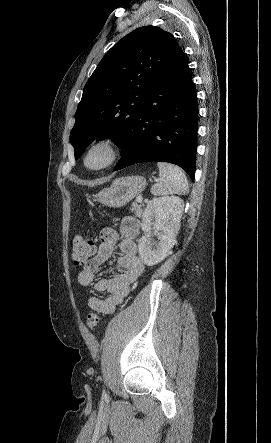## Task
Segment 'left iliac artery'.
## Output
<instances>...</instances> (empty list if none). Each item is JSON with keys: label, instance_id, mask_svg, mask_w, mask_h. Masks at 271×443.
<instances>
[{"label": "left iliac artery", "instance_id": "obj_1", "mask_svg": "<svg viewBox=\"0 0 271 443\" xmlns=\"http://www.w3.org/2000/svg\"><path fill=\"white\" fill-rule=\"evenodd\" d=\"M103 395L106 397V392L105 391H103Z\"/></svg>", "mask_w": 271, "mask_h": 443}]
</instances>
